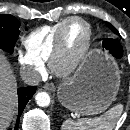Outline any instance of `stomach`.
I'll list each match as a JSON object with an SVG mask.
<instances>
[{
	"label": "stomach",
	"mask_w": 130,
	"mask_h": 130,
	"mask_svg": "<svg viewBox=\"0 0 130 130\" xmlns=\"http://www.w3.org/2000/svg\"><path fill=\"white\" fill-rule=\"evenodd\" d=\"M120 70L107 53L91 50L74 76L58 87V100L69 110L82 115L98 114L116 99Z\"/></svg>",
	"instance_id": "obj_1"
}]
</instances>
